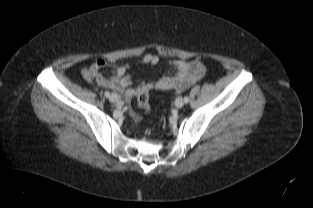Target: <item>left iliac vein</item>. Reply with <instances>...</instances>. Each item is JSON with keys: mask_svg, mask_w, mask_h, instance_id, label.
<instances>
[{"mask_svg": "<svg viewBox=\"0 0 313 208\" xmlns=\"http://www.w3.org/2000/svg\"><path fill=\"white\" fill-rule=\"evenodd\" d=\"M175 106L177 108H182L184 106V100L181 98V97H178L176 100H175Z\"/></svg>", "mask_w": 313, "mask_h": 208, "instance_id": "left-iliac-vein-1", "label": "left iliac vein"}]
</instances>
